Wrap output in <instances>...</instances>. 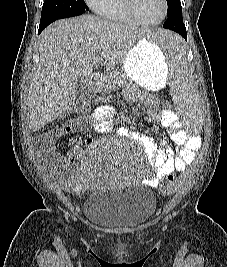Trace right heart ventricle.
<instances>
[{"label": "right heart ventricle", "mask_w": 227, "mask_h": 267, "mask_svg": "<svg viewBox=\"0 0 227 267\" xmlns=\"http://www.w3.org/2000/svg\"><path fill=\"white\" fill-rule=\"evenodd\" d=\"M98 13L105 19L114 22L127 23V24L137 23L124 10L122 0H108L106 5L103 8H101Z\"/></svg>", "instance_id": "1"}]
</instances>
